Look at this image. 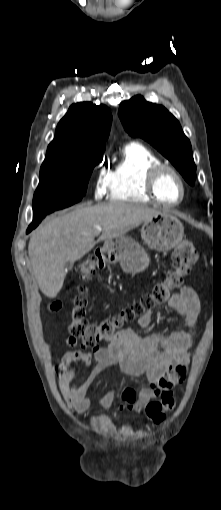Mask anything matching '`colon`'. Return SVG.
I'll return each mask as SVG.
<instances>
[{"label": "colon", "instance_id": "5ec220e1", "mask_svg": "<svg viewBox=\"0 0 221 510\" xmlns=\"http://www.w3.org/2000/svg\"><path fill=\"white\" fill-rule=\"evenodd\" d=\"M197 260L198 252L195 245L189 240L182 241L174 249L171 268L162 280L156 282L139 301L124 308L115 316L99 322L91 321L87 317L88 300L85 296L86 290L81 287L68 311L71 335L81 339L83 344L88 347L114 341L118 333L125 329L128 324L155 306L164 303L170 297L172 291L179 287L185 277L189 275ZM97 265L98 258L95 256L84 259L78 266L80 277L84 280L91 279L95 274ZM49 308L55 312L59 311L62 308V303L54 302ZM175 405L173 396H163L160 400H154L147 404L146 415L153 423H161L165 419L166 413L172 411Z\"/></svg>", "mask_w": 221, "mask_h": 510}]
</instances>
